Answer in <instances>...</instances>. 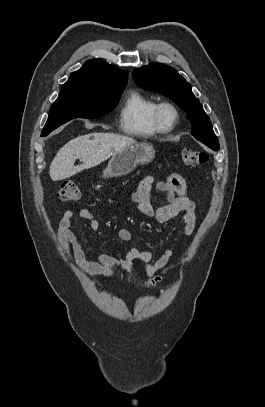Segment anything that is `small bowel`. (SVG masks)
<instances>
[{
    "instance_id": "1",
    "label": "small bowel",
    "mask_w": 265,
    "mask_h": 407,
    "mask_svg": "<svg viewBox=\"0 0 265 407\" xmlns=\"http://www.w3.org/2000/svg\"><path fill=\"white\" fill-rule=\"evenodd\" d=\"M154 184L156 189L163 193L167 199V204L158 208H154L152 205L151 191ZM132 200L142 214L154 218L160 223H165L178 215H182L183 235L190 236L193 234L199 203L189 197L187 184L179 174H171L165 181L160 182H155L153 176H146L138 183L132 194ZM74 215L71 210L64 213L59 223L58 237L67 258L74 260L81 269L90 275L101 276L107 280L113 276L117 268L134 274L135 264L139 263L142 272L149 277L146 282L148 287H153L161 281L160 271L169 263L173 254L172 248L169 247L159 253H154L132 247L125 253L115 255L99 253L95 255L93 260H89L72 230ZM79 216L88 222L93 231L100 229L99 221L88 209H81ZM119 237L126 242L133 240V235L125 228L119 230Z\"/></svg>"
}]
</instances>
